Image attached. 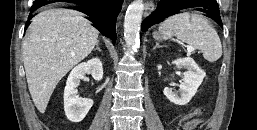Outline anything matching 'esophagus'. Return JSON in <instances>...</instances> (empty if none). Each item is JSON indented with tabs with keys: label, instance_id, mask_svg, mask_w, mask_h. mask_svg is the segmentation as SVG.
Masks as SVG:
<instances>
[{
	"label": "esophagus",
	"instance_id": "esophagus-1",
	"mask_svg": "<svg viewBox=\"0 0 257 130\" xmlns=\"http://www.w3.org/2000/svg\"><path fill=\"white\" fill-rule=\"evenodd\" d=\"M144 9V15H149L154 10V3L152 1L145 2Z\"/></svg>",
	"mask_w": 257,
	"mask_h": 130
}]
</instances>
